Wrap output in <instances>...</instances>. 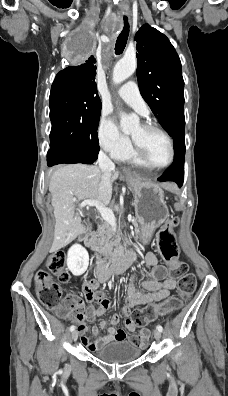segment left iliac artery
Segmentation results:
<instances>
[{
  "mask_svg": "<svg viewBox=\"0 0 228 396\" xmlns=\"http://www.w3.org/2000/svg\"><path fill=\"white\" fill-rule=\"evenodd\" d=\"M157 329H158L160 332L163 331V327H162L161 325H158V326H157Z\"/></svg>",
  "mask_w": 228,
  "mask_h": 396,
  "instance_id": "44dca946",
  "label": "left iliac artery"
}]
</instances>
